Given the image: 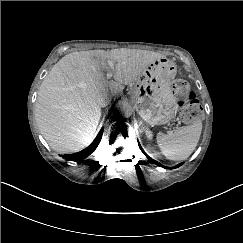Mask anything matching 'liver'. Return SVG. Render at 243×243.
<instances>
[{"mask_svg":"<svg viewBox=\"0 0 243 243\" xmlns=\"http://www.w3.org/2000/svg\"><path fill=\"white\" fill-rule=\"evenodd\" d=\"M163 55L136 49L73 52L57 62L40 85L35 120L41 135L56 151L76 152L93 139L101 117L96 100L104 91L107 61L115 63L112 91H121L150 63Z\"/></svg>","mask_w":243,"mask_h":243,"instance_id":"obj_1","label":"liver"}]
</instances>
